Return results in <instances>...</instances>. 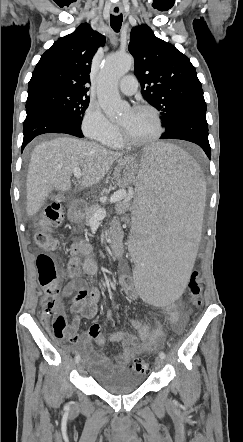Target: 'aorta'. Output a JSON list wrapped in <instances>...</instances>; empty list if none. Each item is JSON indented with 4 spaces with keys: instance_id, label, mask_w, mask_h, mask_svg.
I'll use <instances>...</instances> for the list:
<instances>
[{
    "instance_id": "1",
    "label": "aorta",
    "mask_w": 243,
    "mask_h": 442,
    "mask_svg": "<svg viewBox=\"0 0 243 442\" xmlns=\"http://www.w3.org/2000/svg\"><path fill=\"white\" fill-rule=\"evenodd\" d=\"M132 67L131 58L128 55H109L99 74L98 101L110 119L119 117L127 108L128 104L120 98L117 83Z\"/></svg>"
}]
</instances>
